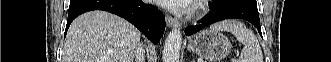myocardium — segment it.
<instances>
[{
    "instance_id": "1",
    "label": "myocardium",
    "mask_w": 331,
    "mask_h": 62,
    "mask_svg": "<svg viewBox=\"0 0 331 62\" xmlns=\"http://www.w3.org/2000/svg\"><path fill=\"white\" fill-rule=\"evenodd\" d=\"M202 2V1H201ZM203 9V6L201 5V4H197L196 5V8H195V11L196 12H199L200 10H202Z\"/></svg>"
}]
</instances>
